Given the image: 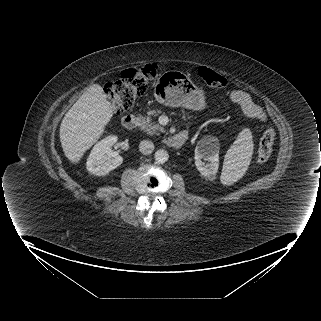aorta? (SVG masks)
Segmentation results:
<instances>
[{
  "label": "aorta",
  "instance_id": "obj_1",
  "mask_svg": "<svg viewBox=\"0 0 321 321\" xmlns=\"http://www.w3.org/2000/svg\"><path fill=\"white\" fill-rule=\"evenodd\" d=\"M154 158L157 163H165L169 158V154L164 149H158L154 154Z\"/></svg>",
  "mask_w": 321,
  "mask_h": 321
}]
</instances>
